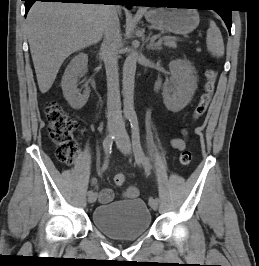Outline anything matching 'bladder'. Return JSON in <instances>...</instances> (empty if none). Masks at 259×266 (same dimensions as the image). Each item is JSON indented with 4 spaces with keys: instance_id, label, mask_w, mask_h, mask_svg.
<instances>
[{
    "instance_id": "obj_1",
    "label": "bladder",
    "mask_w": 259,
    "mask_h": 266,
    "mask_svg": "<svg viewBox=\"0 0 259 266\" xmlns=\"http://www.w3.org/2000/svg\"><path fill=\"white\" fill-rule=\"evenodd\" d=\"M91 219L103 234L117 240L137 239L149 231L152 223L150 210L140 198L99 205Z\"/></svg>"
}]
</instances>
